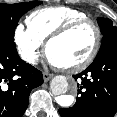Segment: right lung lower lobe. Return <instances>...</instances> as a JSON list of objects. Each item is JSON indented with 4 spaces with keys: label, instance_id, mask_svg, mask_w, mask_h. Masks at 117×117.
<instances>
[{
    "label": "right lung lower lobe",
    "instance_id": "1",
    "mask_svg": "<svg viewBox=\"0 0 117 117\" xmlns=\"http://www.w3.org/2000/svg\"><path fill=\"white\" fill-rule=\"evenodd\" d=\"M42 83V73L25 63L16 47L0 41V117H22L31 90Z\"/></svg>",
    "mask_w": 117,
    "mask_h": 117
}]
</instances>
